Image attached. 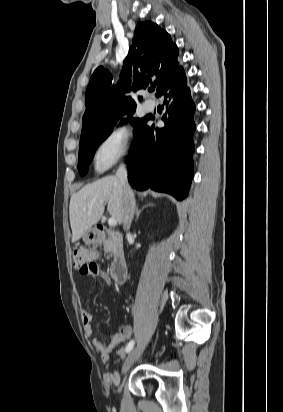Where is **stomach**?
<instances>
[{
    "mask_svg": "<svg viewBox=\"0 0 283 412\" xmlns=\"http://www.w3.org/2000/svg\"><path fill=\"white\" fill-rule=\"evenodd\" d=\"M83 241L86 244H96L98 242L97 237L95 235V233L91 230L87 231L84 235H83Z\"/></svg>",
    "mask_w": 283,
    "mask_h": 412,
    "instance_id": "stomach-1",
    "label": "stomach"
}]
</instances>
